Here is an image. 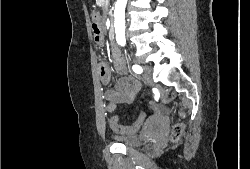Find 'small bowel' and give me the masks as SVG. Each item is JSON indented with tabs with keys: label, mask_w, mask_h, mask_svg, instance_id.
<instances>
[{
	"label": "small bowel",
	"mask_w": 250,
	"mask_h": 169,
	"mask_svg": "<svg viewBox=\"0 0 250 169\" xmlns=\"http://www.w3.org/2000/svg\"><path fill=\"white\" fill-rule=\"evenodd\" d=\"M112 49L114 68L122 77L117 81L114 88L106 91L105 98L109 103H131L140 89V82L133 77L127 76L128 69L126 58L115 48V46H112ZM99 72L102 82L108 84L112 77L111 69L108 64L100 62Z\"/></svg>",
	"instance_id": "c3829d8e"
}]
</instances>
